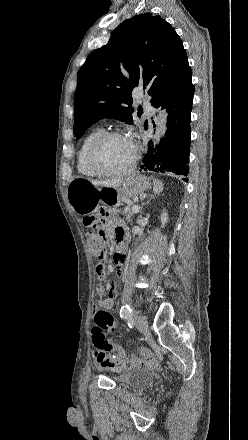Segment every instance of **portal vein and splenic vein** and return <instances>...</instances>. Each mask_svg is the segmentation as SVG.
<instances>
[{
  "label": "portal vein and splenic vein",
  "instance_id": "obj_1",
  "mask_svg": "<svg viewBox=\"0 0 248 440\" xmlns=\"http://www.w3.org/2000/svg\"><path fill=\"white\" fill-rule=\"evenodd\" d=\"M131 210L133 211V213H137L140 210V207L138 205H134L132 206Z\"/></svg>",
  "mask_w": 248,
  "mask_h": 440
}]
</instances>
